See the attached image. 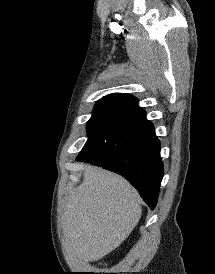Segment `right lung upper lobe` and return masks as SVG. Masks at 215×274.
Segmentation results:
<instances>
[{
  "label": "right lung upper lobe",
  "mask_w": 215,
  "mask_h": 274,
  "mask_svg": "<svg viewBox=\"0 0 215 274\" xmlns=\"http://www.w3.org/2000/svg\"><path fill=\"white\" fill-rule=\"evenodd\" d=\"M98 102L119 104L128 108L144 111L142 108L138 106L137 99L129 94H123V93L110 94L103 97Z\"/></svg>",
  "instance_id": "1"
}]
</instances>
